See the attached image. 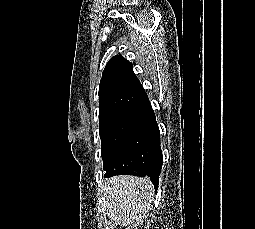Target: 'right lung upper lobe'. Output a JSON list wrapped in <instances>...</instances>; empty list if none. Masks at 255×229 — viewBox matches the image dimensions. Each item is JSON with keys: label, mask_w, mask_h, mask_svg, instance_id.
I'll use <instances>...</instances> for the list:
<instances>
[{"label": "right lung upper lobe", "mask_w": 255, "mask_h": 229, "mask_svg": "<svg viewBox=\"0 0 255 229\" xmlns=\"http://www.w3.org/2000/svg\"><path fill=\"white\" fill-rule=\"evenodd\" d=\"M149 102L133 72V65L121 55L112 57L99 84V125Z\"/></svg>", "instance_id": "obj_1"}]
</instances>
